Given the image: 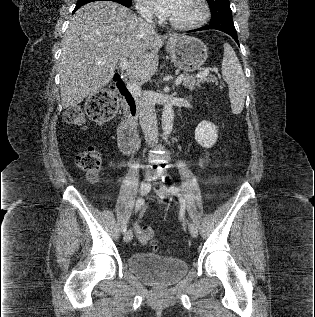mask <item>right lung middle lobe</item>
Here are the masks:
<instances>
[{
	"label": "right lung middle lobe",
	"mask_w": 315,
	"mask_h": 317,
	"mask_svg": "<svg viewBox=\"0 0 315 317\" xmlns=\"http://www.w3.org/2000/svg\"><path fill=\"white\" fill-rule=\"evenodd\" d=\"M94 1H98V0H78L77 5H84V4H87L90 2H94ZM108 1L122 3V4H125L127 6H131V3H132V0H108Z\"/></svg>",
	"instance_id": "1"
}]
</instances>
